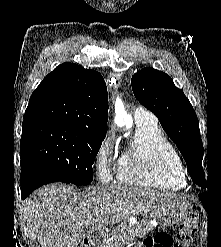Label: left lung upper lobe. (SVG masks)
Here are the masks:
<instances>
[{
	"mask_svg": "<svg viewBox=\"0 0 221 247\" xmlns=\"http://www.w3.org/2000/svg\"><path fill=\"white\" fill-rule=\"evenodd\" d=\"M131 84L136 99L158 117L164 131L180 150L192 180L206 188L199 121L183 91L174 85L170 76L153 68L134 74Z\"/></svg>",
	"mask_w": 221,
	"mask_h": 247,
	"instance_id": "left-lung-upper-lobe-1",
	"label": "left lung upper lobe"
}]
</instances>
